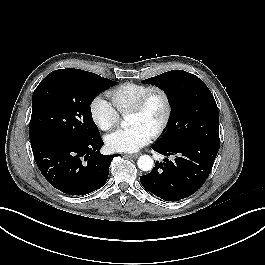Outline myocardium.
Returning a JSON list of instances; mask_svg holds the SVG:
<instances>
[{"instance_id":"1","label":"myocardium","mask_w":265,"mask_h":265,"mask_svg":"<svg viewBox=\"0 0 265 265\" xmlns=\"http://www.w3.org/2000/svg\"><path fill=\"white\" fill-rule=\"evenodd\" d=\"M154 95H160L164 101V105H165V110H164V114L160 120V122L158 123V125L155 127V129L152 132V136L154 137H158L160 136L165 129L167 128L171 116H172V101L170 98V95L168 94V92L159 87V86H153L151 87L147 92H145L142 97L136 102V104L129 110L130 113H143L150 100L152 99V97Z\"/></svg>"}]
</instances>
